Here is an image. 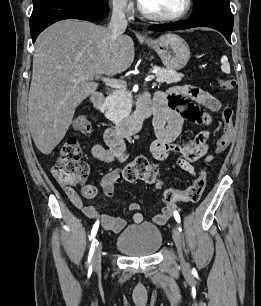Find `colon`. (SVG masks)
<instances>
[{
	"label": "colon",
	"mask_w": 261,
	"mask_h": 306,
	"mask_svg": "<svg viewBox=\"0 0 261 306\" xmlns=\"http://www.w3.org/2000/svg\"><path fill=\"white\" fill-rule=\"evenodd\" d=\"M222 89L230 91L236 86V82L231 78H223L219 81ZM221 120L223 131L221 137L215 145V152L220 153L226 150L234 136L233 111L230 107L222 110ZM73 126L75 130L83 135H89L91 125L84 116H79L74 120ZM82 149L79 141L74 138H68L61 147L56 163L52 167V174L55 179L66 189H72L77 184H83L86 180L89 168L86 163L81 160ZM114 181L132 183L142 180L148 184H155L161 187L159 179L158 167L148 161L145 157H138L128 163L123 169L119 170L112 176ZM206 186V173L200 172L199 176L185 190L179 191L168 188L164 191V199L169 203L178 201L197 202ZM96 189H88L87 197H94Z\"/></svg>",
	"instance_id": "1"
}]
</instances>
